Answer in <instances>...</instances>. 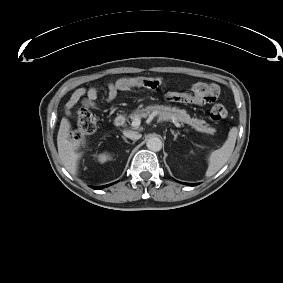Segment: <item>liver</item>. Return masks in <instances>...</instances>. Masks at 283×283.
Listing matches in <instances>:
<instances>
[{
	"label": "liver",
	"instance_id": "6515ba94",
	"mask_svg": "<svg viewBox=\"0 0 283 283\" xmlns=\"http://www.w3.org/2000/svg\"><path fill=\"white\" fill-rule=\"evenodd\" d=\"M71 125L67 118H62L57 136L58 154L66 170L77 174L80 154L76 152L78 143L69 139Z\"/></svg>",
	"mask_w": 283,
	"mask_h": 283
}]
</instances>
